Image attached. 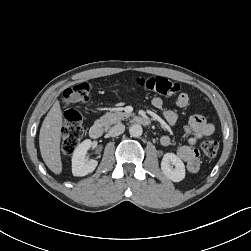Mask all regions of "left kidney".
<instances>
[{
    "instance_id": "obj_1",
    "label": "left kidney",
    "mask_w": 251,
    "mask_h": 251,
    "mask_svg": "<svg viewBox=\"0 0 251 251\" xmlns=\"http://www.w3.org/2000/svg\"><path fill=\"white\" fill-rule=\"evenodd\" d=\"M161 169L164 175L173 182H180L185 178V165L174 153L164 154Z\"/></svg>"
}]
</instances>
